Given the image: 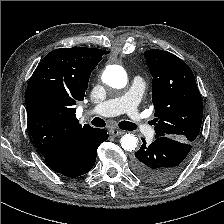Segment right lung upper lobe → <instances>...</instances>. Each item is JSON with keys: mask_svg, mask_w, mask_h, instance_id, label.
<instances>
[{"mask_svg": "<svg viewBox=\"0 0 224 224\" xmlns=\"http://www.w3.org/2000/svg\"><path fill=\"white\" fill-rule=\"evenodd\" d=\"M101 49L73 47L48 53L31 76L25 94L28 125L34 144L49 164H55L73 143L93 131L76 118Z\"/></svg>", "mask_w": 224, "mask_h": 224, "instance_id": "right-lung-upper-lobe-1", "label": "right lung upper lobe"}]
</instances>
